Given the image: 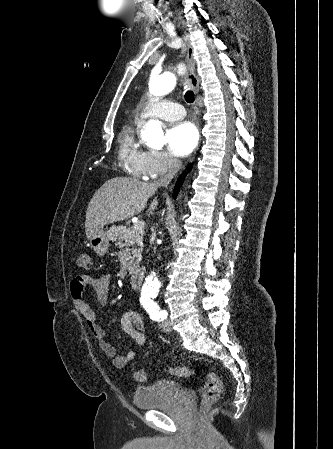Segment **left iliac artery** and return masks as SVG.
<instances>
[{"mask_svg":"<svg viewBox=\"0 0 333 449\" xmlns=\"http://www.w3.org/2000/svg\"><path fill=\"white\" fill-rule=\"evenodd\" d=\"M143 307L153 320L162 321L167 317V312L165 310H160L158 304L150 298H145Z\"/></svg>","mask_w":333,"mask_h":449,"instance_id":"left-iliac-artery-1","label":"left iliac artery"}]
</instances>
